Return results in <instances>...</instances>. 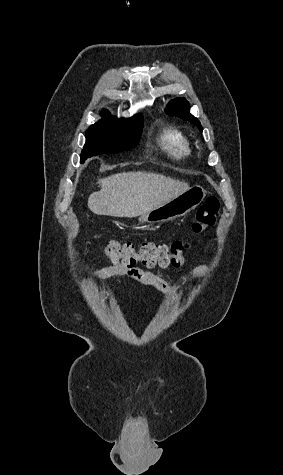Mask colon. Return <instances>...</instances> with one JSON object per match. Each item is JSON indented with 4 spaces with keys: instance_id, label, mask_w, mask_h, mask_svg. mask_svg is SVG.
Returning a JSON list of instances; mask_svg holds the SVG:
<instances>
[{
    "instance_id": "obj_1",
    "label": "colon",
    "mask_w": 283,
    "mask_h": 475,
    "mask_svg": "<svg viewBox=\"0 0 283 475\" xmlns=\"http://www.w3.org/2000/svg\"><path fill=\"white\" fill-rule=\"evenodd\" d=\"M220 203L218 198L209 197L196 211L191 228L196 236H201L212 227L218 216ZM189 249V242L178 241L168 243H142L137 248L132 242L109 243L102 253L117 262L122 268L132 269L137 263L147 267L168 268L182 266L185 262V252Z\"/></svg>"
}]
</instances>
